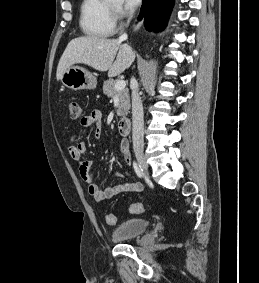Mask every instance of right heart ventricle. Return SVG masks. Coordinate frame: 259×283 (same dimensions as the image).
Listing matches in <instances>:
<instances>
[{"label": "right heart ventricle", "instance_id": "1", "mask_svg": "<svg viewBox=\"0 0 259 283\" xmlns=\"http://www.w3.org/2000/svg\"><path fill=\"white\" fill-rule=\"evenodd\" d=\"M82 31L92 38H107L114 34L116 22L107 0H83L80 9Z\"/></svg>", "mask_w": 259, "mask_h": 283}]
</instances>
